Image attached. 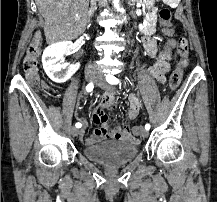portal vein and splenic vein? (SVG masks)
Instances as JSON below:
<instances>
[{"instance_id":"1","label":"portal vein and splenic vein","mask_w":217,"mask_h":202,"mask_svg":"<svg viewBox=\"0 0 217 202\" xmlns=\"http://www.w3.org/2000/svg\"><path fill=\"white\" fill-rule=\"evenodd\" d=\"M75 20H80V18H78L77 14H76V18H75Z\"/></svg>"}]
</instances>
